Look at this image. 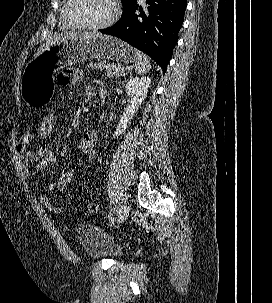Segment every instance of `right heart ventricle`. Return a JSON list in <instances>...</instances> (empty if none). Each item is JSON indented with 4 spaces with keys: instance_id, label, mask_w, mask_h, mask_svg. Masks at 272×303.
<instances>
[{
    "instance_id": "e07e8e85",
    "label": "right heart ventricle",
    "mask_w": 272,
    "mask_h": 303,
    "mask_svg": "<svg viewBox=\"0 0 272 303\" xmlns=\"http://www.w3.org/2000/svg\"><path fill=\"white\" fill-rule=\"evenodd\" d=\"M66 2L64 3V5L62 7V10H61L60 25L64 29H69V28H73V27L66 21V19L64 17V11H65Z\"/></svg>"
}]
</instances>
